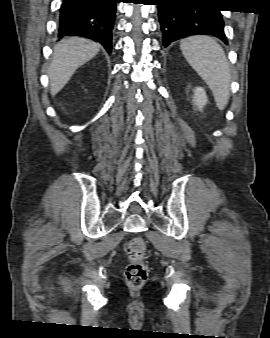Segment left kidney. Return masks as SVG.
I'll list each match as a JSON object with an SVG mask.
<instances>
[{"mask_svg": "<svg viewBox=\"0 0 270 338\" xmlns=\"http://www.w3.org/2000/svg\"><path fill=\"white\" fill-rule=\"evenodd\" d=\"M207 95L205 90L202 87H197L194 90L193 102L201 111L204 105L207 103Z\"/></svg>", "mask_w": 270, "mask_h": 338, "instance_id": "5707ae66", "label": "left kidney"}]
</instances>
